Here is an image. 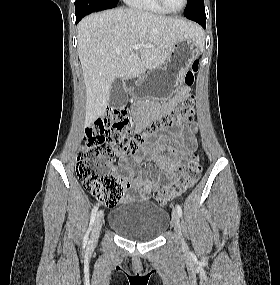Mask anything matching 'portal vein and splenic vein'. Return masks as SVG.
<instances>
[{"label":"portal vein and splenic vein","instance_id":"1","mask_svg":"<svg viewBox=\"0 0 280 285\" xmlns=\"http://www.w3.org/2000/svg\"><path fill=\"white\" fill-rule=\"evenodd\" d=\"M144 45L140 44V43H137L135 46H134V49L135 50H139L141 47H143Z\"/></svg>","mask_w":280,"mask_h":285}]
</instances>
